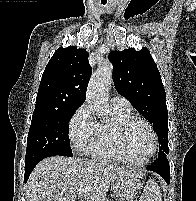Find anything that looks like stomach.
I'll use <instances>...</instances> for the list:
<instances>
[{
    "mask_svg": "<svg viewBox=\"0 0 196 201\" xmlns=\"http://www.w3.org/2000/svg\"><path fill=\"white\" fill-rule=\"evenodd\" d=\"M141 187L139 178L127 176L117 180L114 191L120 201H133Z\"/></svg>",
    "mask_w": 196,
    "mask_h": 201,
    "instance_id": "stomach-1",
    "label": "stomach"
}]
</instances>
